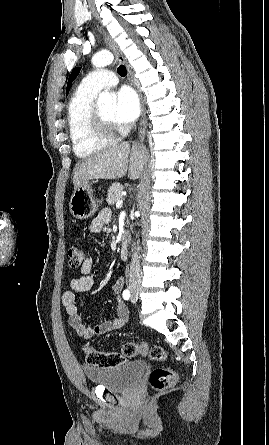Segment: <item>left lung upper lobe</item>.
Masks as SVG:
<instances>
[{"instance_id":"obj_1","label":"left lung upper lobe","mask_w":269,"mask_h":445,"mask_svg":"<svg viewBox=\"0 0 269 445\" xmlns=\"http://www.w3.org/2000/svg\"><path fill=\"white\" fill-rule=\"evenodd\" d=\"M79 72H80V67H75V68L72 70V73H71V75L69 76V79H68L67 89H66V94L68 93V91H69V89H70V87H71V83H72L73 80L77 77V75L79 74Z\"/></svg>"}]
</instances>
